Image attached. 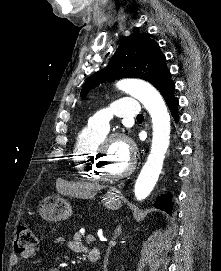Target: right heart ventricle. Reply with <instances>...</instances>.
Here are the masks:
<instances>
[{
	"label": "right heart ventricle",
	"mask_w": 221,
	"mask_h": 271,
	"mask_svg": "<svg viewBox=\"0 0 221 271\" xmlns=\"http://www.w3.org/2000/svg\"><path fill=\"white\" fill-rule=\"evenodd\" d=\"M77 141L76 151L83 153L74 155L73 164H81L75 166L77 176H80V179H100V174H96L98 164H94L93 158H96V153L99 152L97 145L107 144L105 136L98 134L90 139L78 138Z\"/></svg>",
	"instance_id": "e07e8e85"
}]
</instances>
